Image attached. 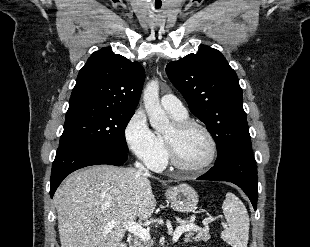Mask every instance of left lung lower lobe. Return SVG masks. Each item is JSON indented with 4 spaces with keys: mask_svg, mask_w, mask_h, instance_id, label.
Returning <instances> with one entry per match:
<instances>
[{
    "mask_svg": "<svg viewBox=\"0 0 310 247\" xmlns=\"http://www.w3.org/2000/svg\"><path fill=\"white\" fill-rule=\"evenodd\" d=\"M199 180L228 181L238 185L249 197L254 209L257 208V169L252 148L246 147L229 158L215 162Z\"/></svg>",
    "mask_w": 310,
    "mask_h": 247,
    "instance_id": "1",
    "label": "left lung lower lobe"
}]
</instances>
